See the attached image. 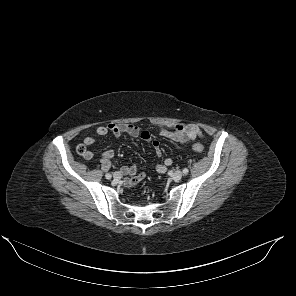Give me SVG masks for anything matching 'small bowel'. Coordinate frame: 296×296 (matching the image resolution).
Returning <instances> with one entry per match:
<instances>
[{
    "mask_svg": "<svg viewBox=\"0 0 296 296\" xmlns=\"http://www.w3.org/2000/svg\"><path fill=\"white\" fill-rule=\"evenodd\" d=\"M98 136H105L109 133L115 137H120L123 134H127L133 137L140 138L148 143H150L156 152V155L160 158L162 156V149L159 142L153 138L152 134L143 128L129 123L115 124L111 123L105 126H99L95 130ZM159 133L161 136L170 139L181 144L193 141L196 138H201L203 136L202 131L199 127L191 124L178 123L172 126H161L159 128ZM96 142L95 138L88 136L83 140L85 146H91ZM85 159H91L93 154L88 150L87 155H83ZM104 160L110 161L114 159V151L106 150L102 154ZM173 164L172 158H165L161 163L156 164L155 169L158 173H165L167 168ZM121 172L127 176L122 180L123 184L126 186H133L139 183L144 177L145 173H138V167L136 165L123 166Z\"/></svg>",
    "mask_w": 296,
    "mask_h": 296,
    "instance_id": "small-bowel-1",
    "label": "small bowel"
}]
</instances>
